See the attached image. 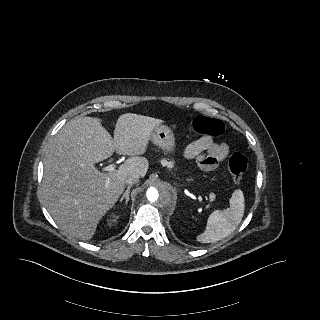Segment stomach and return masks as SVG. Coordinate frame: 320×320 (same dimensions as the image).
I'll use <instances>...</instances> for the list:
<instances>
[{
    "label": "stomach",
    "instance_id": "stomach-1",
    "mask_svg": "<svg viewBox=\"0 0 320 320\" xmlns=\"http://www.w3.org/2000/svg\"><path fill=\"white\" fill-rule=\"evenodd\" d=\"M150 140L166 153L174 151L175 138L168 126L157 125L151 132Z\"/></svg>",
    "mask_w": 320,
    "mask_h": 320
}]
</instances>
